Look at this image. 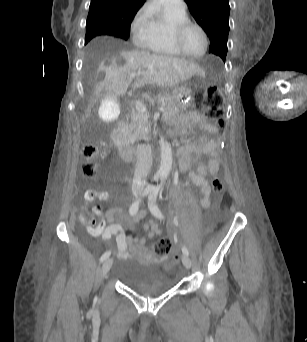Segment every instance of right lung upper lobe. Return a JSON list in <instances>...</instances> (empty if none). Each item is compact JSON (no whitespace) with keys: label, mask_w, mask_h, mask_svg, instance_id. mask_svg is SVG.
<instances>
[{"label":"right lung upper lobe","mask_w":307,"mask_h":342,"mask_svg":"<svg viewBox=\"0 0 307 342\" xmlns=\"http://www.w3.org/2000/svg\"><path fill=\"white\" fill-rule=\"evenodd\" d=\"M146 0H92L87 21L109 30L130 31V24Z\"/></svg>","instance_id":"1"}]
</instances>
